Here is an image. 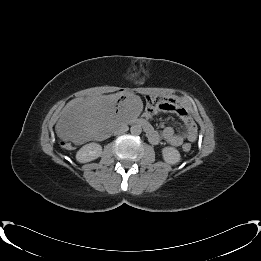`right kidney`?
Listing matches in <instances>:
<instances>
[{"mask_svg": "<svg viewBox=\"0 0 261 261\" xmlns=\"http://www.w3.org/2000/svg\"><path fill=\"white\" fill-rule=\"evenodd\" d=\"M102 154V146L92 142L82 146L76 153V160L80 163H87L97 159Z\"/></svg>", "mask_w": 261, "mask_h": 261, "instance_id": "obj_1", "label": "right kidney"}]
</instances>
